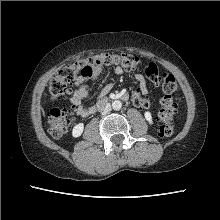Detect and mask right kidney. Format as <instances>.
I'll return each mask as SVG.
<instances>
[{
  "label": "right kidney",
  "mask_w": 220,
  "mask_h": 220,
  "mask_svg": "<svg viewBox=\"0 0 220 220\" xmlns=\"http://www.w3.org/2000/svg\"><path fill=\"white\" fill-rule=\"evenodd\" d=\"M83 130H84V124L83 123H79V124L75 125L73 130H72V136L74 138L80 137L81 134L83 133Z\"/></svg>",
  "instance_id": "ca27d5eb"
}]
</instances>
